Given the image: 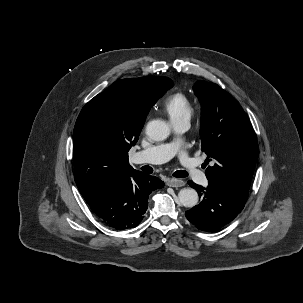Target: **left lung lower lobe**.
<instances>
[{"instance_id": "obj_1", "label": "left lung lower lobe", "mask_w": 303, "mask_h": 303, "mask_svg": "<svg viewBox=\"0 0 303 303\" xmlns=\"http://www.w3.org/2000/svg\"><path fill=\"white\" fill-rule=\"evenodd\" d=\"M197 190L201 202L186 211L187 219L199 230L216 231L231 222L242 211L246 200L228 188L208 182L207 188L188 181Z\"/></svg>"}]
</instances>
